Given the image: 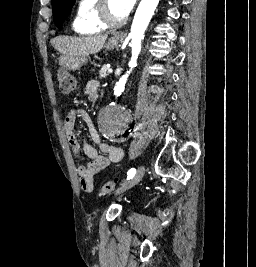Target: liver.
<instances>
[{"label":"liver","mask_w":256,"mask_h":267,"mask_svg":"<svg viewBox=\"0 0 256 267\" xmlns=\"http://www.w3.org/2000/svg\"><path fill=\"white\" fill-rule=\"evenodd\" d=\"M119 32H116L117 36ZM108 36H82V38H74V36H57L50 40L55 50L64 56H88V54H97L102 50Z\"/></svg>","instance_id":"6515ba94"}]
</instances>
